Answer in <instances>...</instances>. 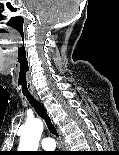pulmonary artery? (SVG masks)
Masks as SVG:
<instances>
[{"instance_id": "e3ab8cb5", "label": "pulmonary artery", "mask_w": 119, "mask_h": 155, "mask_svg": "<svg viewBox=\"0 0 119 155\" xmlns=\"http://www.w3.org/2000/svg\"><path fill=\"white\" fill-rule=\"evenodd\" d=\"M41 146L44 150H52L56 147V143L54 139L46 137L41 140Z\"/></svg>"}]
</instances>
